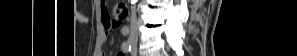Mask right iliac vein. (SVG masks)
I'll return each instance as SVG.
<instances>
[{"label":"right iliac vein","mask_w":297,"mask_h":56,"mask_svg":"<svg viewBox=\"0 0 297 56\" xmlns=\"http://www.w3.org/2000/svg\"><path fill=\"white\" fill-rule=\"evenodd\" d=\"M137 42L136 38L131 37L130 38V43L131 44H135Z\"/></svg>","instance_id":"1"}]
</instances>
